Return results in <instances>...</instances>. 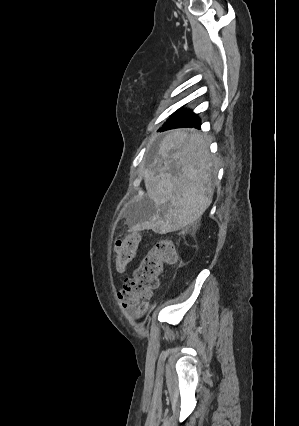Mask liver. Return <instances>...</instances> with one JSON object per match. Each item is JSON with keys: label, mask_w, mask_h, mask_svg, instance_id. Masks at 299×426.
I'll return each mask as SVG.
<instances>
[{"label": "liver", "mask_w": 299, "mask_h": 426, "mask_svg": "<svg viewBox=\"0 0 299 426\" xmlns=\"http://www.w3.org/2000/svg\"><path fill=\"white\" fill-rule=\"evenodd\" d=\"M209 138L178 129L160 142L158 159L143 173L148 198L156 212L134 228L165 234L197 221L213 199L216 159L209 153ZM181 169L174 176L171 165Z\"/></svg>", "instance_id": "obj_1"}]
</instances>
